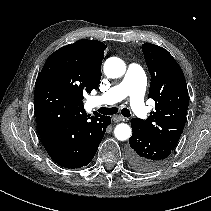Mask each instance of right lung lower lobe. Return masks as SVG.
Returning <instances> with one entry per match:
<instances>
[{
	"mask_svg": "<svg viewBox=\"0 0 211 211\" xmlns=\"http://www.w3.org/2000/svg\"><path fill=\"white\" fill-rule=\"evenodd\" d=\"M34 108L42 144L53 161L73 169L89 164L111 123L110 117H90L82 100L41 80L35 83Z\"/></svg>",
	"mask_w": 211,
	"mask_h": 211,
	"instance_id": "98d812e1",
	"label": "right lung lower lobe"
}]
</instances>
